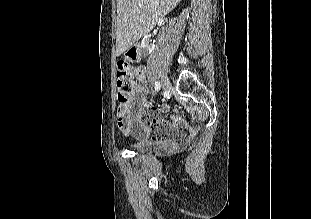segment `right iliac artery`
Segmentation results:
<instances>
[{
	"instance_id": "82829eb1",
	"label": "right iliac artery",
	"mask_w": 311,
	"mask_h": 219,
	"mask_svg": "<svg viewBox=\"0 0 311 219\" xmlns=\"http://www.w3.org/2000/svg\"><path fill=\"white\" fill-rule=\"evenodd\" d=\"M155 90L158 92L160 90V83L157 81L155 82Z\"/></svg>"
}]
</instances>
